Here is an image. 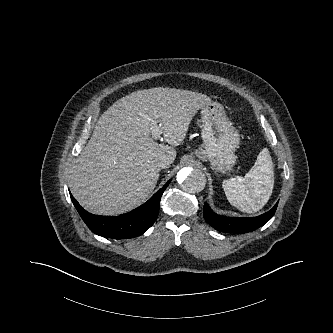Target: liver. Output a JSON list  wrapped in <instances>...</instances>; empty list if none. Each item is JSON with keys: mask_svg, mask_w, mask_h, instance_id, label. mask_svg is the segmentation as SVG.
<instances>
[{"mask_svg": "<svg viewBox=\"0 0 333 333\" xmlns=\"http://www.w3.org/2000/svg\"><path fill=\"white\" fill-rule=\"evenodd\" d=\"M211 102L201 93L156 87L116 101L99 118L93 134L71 169L72 195L87 211L119 215L144 202L159 179L156 162L170 164L186 137L192 118ZM161 125L157 144L151 127Z\"/></svg>", "mask_w": 333, "mask_h": 333, "instance_id": "6515ba94", "label": "liver"}]
</instances>
